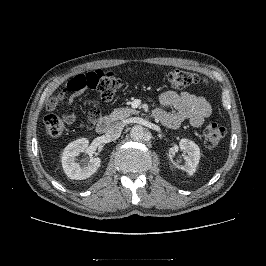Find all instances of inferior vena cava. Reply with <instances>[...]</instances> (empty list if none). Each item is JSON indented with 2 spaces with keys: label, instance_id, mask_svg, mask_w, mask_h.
Returning <instances> with one entry per match:
<instances>
[{
  "label": "inferior vena cava",
  "instance_id": "602c4592",
  "mask_svg": "<svg viewBox=\"0 0 266 266\" xmlns=\"http://www.w3.org/2000/svg\"><path fill=\"white\" fill-rule=\"evenodd\" d=\"M123 123L115 122L108 126L106 130V137L109 140H116L120 137L121 132L123 130Z\"/></svg>",
  "mask_w": 266,
  "mask_h": 266
}]
</instances>
